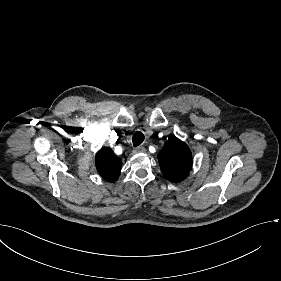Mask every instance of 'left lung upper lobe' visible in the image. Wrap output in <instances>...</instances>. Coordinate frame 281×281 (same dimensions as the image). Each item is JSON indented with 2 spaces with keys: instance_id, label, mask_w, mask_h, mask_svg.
<instances>
[{
  "instance_id": "obj_1",
  "label": "left lung upper lobe",
  "mask_w": 281,
  "mask_h": 281,
  "mask_svg": "<svg viewBox=\"0 0 281 281\" xmlns=\"http://www.w3.org/2000/svg\"><path fill=\"white\" fill-rule=\"evenodd\" d=\"M161 171L172 182L184 180L192 167V155L188 146L177 138L166 141L158 155Z\"/></svg>"
}]
</instances>
